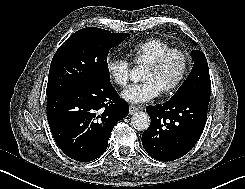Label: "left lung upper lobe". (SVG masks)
<instances>
[{"mask_svg":"<svg viewBox=\"0 0 245 189\" xmlns=\"http://www.w3.org/2000/svg\"><path fill=\"white\" fill-rule=\"evenodd\" d=\"M192 56L194 58L192 71L171 99L185 96H197L207 100L210 99L211 80L206 57L204 53L199 50H193Z\"/></svg>","mask_w":245,"mask_h":189,"instance_id":"5c2ea615","label":"left lung upper lobe"}]
</instances>
